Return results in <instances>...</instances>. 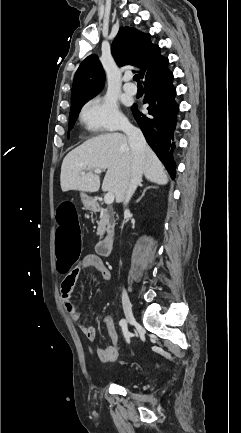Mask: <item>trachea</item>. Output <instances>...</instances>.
<instances>
[{
    "label": "trachea",
    "mask_w": 241,
    "mask_h": 433,
    "mask_svg": "<svg viewBox=\"0 0 241 433\" xmlns=\"http://www.w3.org/2000/svg\"><path fill=\"white\" fill-rule=\"evenodd\" d=\"M136 82H138V85H140L141 83L139 82V75H135L133 78Z\"/></svg>",
    "instance_id": "1"
}]
</instances>
